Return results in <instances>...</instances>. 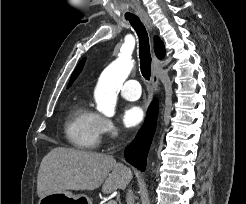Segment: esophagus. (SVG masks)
Here are the masks:
<instances>
[{"label":"esophagus","mask_w":246,"mask_h":204,"mask_svg":"<svg viewBox=\"0 0 246 204\" xmlns=\"http://www.w3.org/2000/svg\"><path fill=\"white\" fill-rule=\"evenodd\" d=\"M142 21L147 26V28L152 31L153 25L150 20V18L147 15L141 16ZM161 67V61L156 57L155 54H153V66H152V78H151V84H152V91L155 93L159 86V76H158V70Z\"/></svg>","instance_id":"1"}]
</instances>
